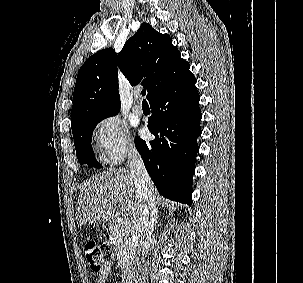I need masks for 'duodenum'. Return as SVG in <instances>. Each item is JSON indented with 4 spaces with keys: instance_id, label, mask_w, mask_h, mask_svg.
I'll return each instance as SVG.
<instances>
[{
    "instance_id": "410a0bca",
    "label": "duodenum",
    "mask_w": 303,
    "mask_h": 283,
    "mask_svg": "<svg viewBox=\"0 0 303 283\" xmlns=\"http://www.w3.org/2000/svg\"><path fill=\"white\" fill-rule=\"evenodd\" d=\"M112 227H113V222L109 221L108 222V228H112ZM123 273H124L125 282L126 283H133L131 271L128 270V269H124Z\"/></svg>"
}]
</instances>
